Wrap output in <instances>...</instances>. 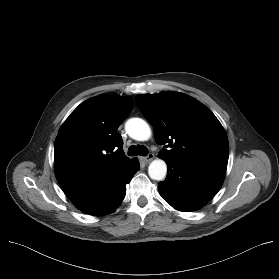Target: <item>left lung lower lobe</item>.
<instances>
[{"mask_svg": "<svg viewBox=\"0 0 279 279\" xmlns=\"http://www.w3.org/2000/svg\"><path fill=\"white\" fill-rule=\"evenodd\" d=\"M168 174L158 185L161 197L179 211H195L210 201L220 189L224 171L187 166L165 160Z\"/></svg>", "mask_w": 279, "mask_h": 279, "instance_id": "left-lung-lower-lobe-1", "label": "left lung lower lobe"}]
</instances>
